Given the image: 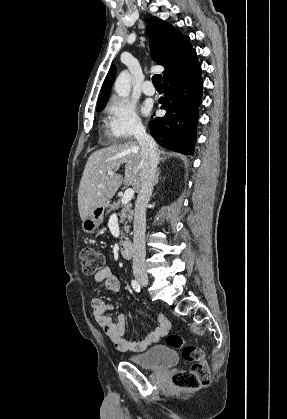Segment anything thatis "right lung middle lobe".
<instances>
[{
	"label": "right lung middle lobe",
	"instance_id": "1",
	"mask_svg": "<svg viewBox=\"0 0 287 419\" xmlns=\"http://www.w3.org/2000/svg\"><path fill=\"white\" fill-rule=\"evenodd\" d=\"M105 106L97 107V111H101Z\"/></svg>",
	"mask_w": 287,
	"mask_h": 419
}]
</instances>
